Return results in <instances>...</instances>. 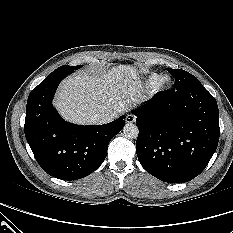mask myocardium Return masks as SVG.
I'll list each match as a JSON object with an SVG mask.
<instances>
[{"label": "myocardium", "mask_w": 233, "mask_h": 233, "mask_svg": "<svg viewBox=\"0 0 233 233\" xmlns=\"http://www.w3.org/2000/svg\"><path fill=\"white\" fill-rule=\"evenodd\" d=\"M171 85V77L169 75H162L154 86L155 91H163Z\"/></svg>", "instance_id": "1"}]
</instances>
